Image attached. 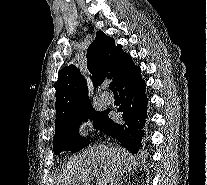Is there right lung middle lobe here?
<instances>
[{"label":"right lung middle lobe","instance_id":"1","mask_svg":"<svg viewBox=\"0 0 207 185\" xmlns=\"http://www.w3.org/2000/svg\"><path fill=\"white\" fill-rule=\"evenodd\" d=\"M109 112L110 109L100 112L92 110L73 118L65 125L55 128L53 140L54 153L59 155L65 150L75 153L87 147L90 142L89 138L79 135V126L90 118L95 121V127L101 130L103 125L110 120Z\"/></svg>","mask_w":207,"mask_h":185}]
</instances>
